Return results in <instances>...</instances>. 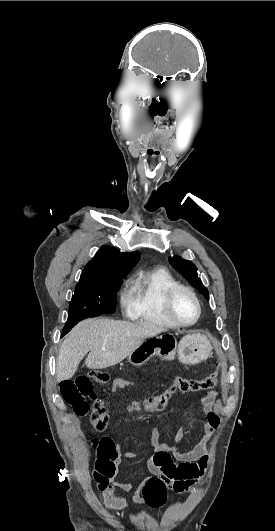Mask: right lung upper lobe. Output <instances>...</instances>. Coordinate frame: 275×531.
Wrapping results in <instances>:
<instances>
[{
  "instance_id": "obj_1",
  "label": "right lung upper lobe",
  "mask_w": 275,
  "mask_h": 531,
  "mask_svg": "<svg viewBox=\"0 0 275 531\" xmlns=\"http://www.w3.org/2000/svg\"><path fill=\"white\" fill-rule=\"evenodd\" d=\"M138 252H120L111 246H102L85 266L80 280L124 278L139 261Z\"/></svg>"
}]
</instances>
